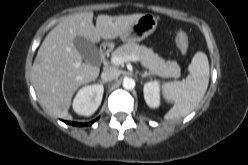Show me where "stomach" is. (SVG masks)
Masks as SVG:
<instances>
[{
  "label": "stomach",
  "mask_w": 248,
  "mask_h": 165,
  "mask_svg": "<svg viewBox=\"0 0 248 165\" xmlns=\"http://www.w3.org/2000/svg\"><path fill=\"white\" fill-rule=\"evenodd\" d=\"M157 27V18L153 14H143L136 22L130 25L129 29L120 36L124 42H140Z\"/></svg>",
  "instance_id": "1"
}]
</instances>
